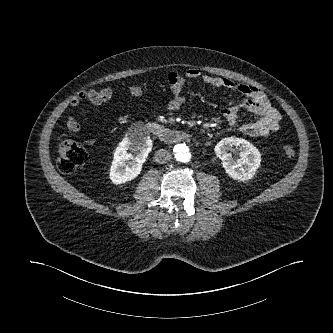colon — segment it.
Listing matches in <instances>:
<instances>
[{
  "mask_svg": "<svg viewBox=\"0 0 333 333\" xmlns=\"http://www.w3.org/2000/svg\"><path fill=\"white\" fill-rule=\"evenodd\" d=\"M283 153L287 158L295 155V149L291 145L283 148ZM57 166L64 174H70L83 166L87 162L86 150L69 138H61L57 143Z\"/></svg>",
  "mask_w": 333,
  "mask_h": 333,
  "instance_id": "obj_1",
  "label": "colon"
}]
</instances>
